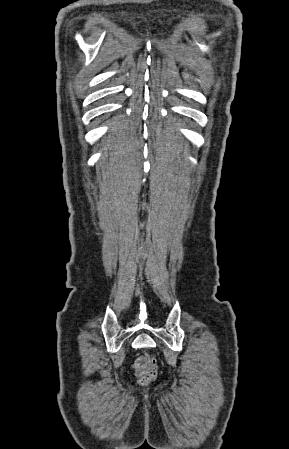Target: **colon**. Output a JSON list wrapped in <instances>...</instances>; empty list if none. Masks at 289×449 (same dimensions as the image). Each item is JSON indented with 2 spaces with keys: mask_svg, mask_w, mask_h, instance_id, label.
<instances>
[{
  "mask_svg": "<svg viewBox=\"0 0 289 449\" xmlns=\"http://www.w3.org/2000/svg\"><path fill=\"white\" fill-rule=\"evenodd\" d=\"M158 364L155 357L147 356V369L140 376V383L145 385L153 381L157 377Z\"/></svg>",
  "mask_w": 289,
  "mask_h": 449,
  "instance_id": "obj_1",
  "label": "colon"
}]
</instances>
